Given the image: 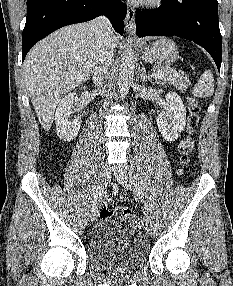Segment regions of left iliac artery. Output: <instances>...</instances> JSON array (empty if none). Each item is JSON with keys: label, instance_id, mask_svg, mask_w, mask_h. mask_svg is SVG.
I'll return each mask as SVG.
<instances>
[{"label": "left iliac artery", "instance_id": "44dca946", "mask_svg": "<svg viewBox=\"0 0 233 286\" xmlns=\"http://www.w3.org/2000/svg\"><path fill=\"white\" fill-rule=\"evenodd\" d=\"M134 180H137L136 176L134 175L133 176ZM135 184V191H136V194L139 196V198H142V191H141V187L139 185V183H134Z\"/></svg>", "mask_w": 233, "mask_h": 286}]
</instances>
